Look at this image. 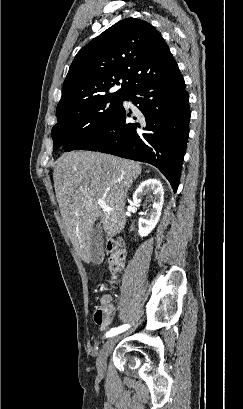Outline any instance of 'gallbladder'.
Returning <instances> with one entry per match:
<instances>
[{
    "label": "gallbladder",
    "instance_id": "gallbladder-1",
    "mask_svg": "<svg viewBox=\"0 0 243 409\" xmlns=\"http://www.w3.org/2000/svg\"><path fill=\"white\" fill-rule=\"evenodd\" d=\"M91 241V261L95 264H99L104 259V251H103V239L100 235L98 229H95L90 237Z\"/></svg>",
    "mask_w": 243,
    "mask_h": 409
}]
</instances>
